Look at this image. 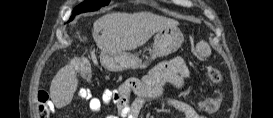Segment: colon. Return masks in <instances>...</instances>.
I'll return each mask as SVG.
<instances>
[{"label":"colon","instance_id":"colon-1","mask_svg":"<svg viewBox=\"0 0 273 118\" xmlns=\"http://www.w3.org/2000/svg\"><path fill=\"white\" fill-rule=\"evenodd\" d=\"M74 67L84 81L91 82L93 74L90 66L84 58H75ZM206 72L214 84L219 86L222 83V76L217 69L213 67H206ZM222 100L223 92L220 88H218L212 97L206 99L201 104L200 108L204 112L214 113L220 108ZM52 106L53 103L51 102L48 92L45 90H40L38 92V116L41 118H48Z\"/></svg>","mask_w":273,"mask_h":118}]
</instances>
